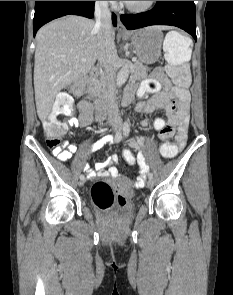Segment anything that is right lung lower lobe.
Listing matches in <instances>:
<instances>
[{
	"label": "right lung lower lobe",
	"mask_w": 233,
	"mask_h": 295,
	"mask_svg": "<svg viewBox=\"0 0 233 295\" xmlns=\"http://www.w3.org/2000/svg\"><path fill=\"white\" fill-rule=\"evenodd\" d=\"M94 4L95 1H36L33 20L34 36L42 25L64 15L74 14L92 18ZM112 22L116 26L117 18L114 14Z\"/></svg>",
	"instance_id": "1"
}]
</instances>
